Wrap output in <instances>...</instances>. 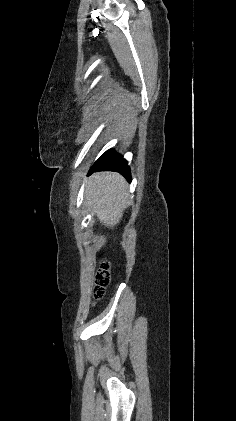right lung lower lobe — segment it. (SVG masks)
Instances as JSON below:
<instances>
[{
  "instance_id": "98d812e1",
  "label": "right lung lower lobe",
  "mask_w": 236,
  "mask_h": 421,
  "mask_svg": "<svg viewBox=\"0 0 236 421\" xmlns=\"http://www.w3.org/2000/svg\"><path fill=\"white\" fill-rule=\"evenodd\" d=\"M101 170L116 171L124 175L129 181L131 180L130 168L127 161L121 155L116 154L112 149L106 151L98 158L91 167L89 174Z\"/></svg>"
}]
</instances>
